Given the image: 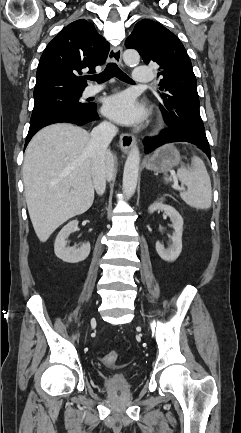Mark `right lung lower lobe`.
Wrapping results in <instances>:
<instances>
[{"instance_id":"right-lung-lower-lobe-1","label":"right lung lower lobe","mask_w":241,"mask_h":433,"mask_svg":"<svg viewBox=\"0 0 241 433\" xmlns=\"http://www.w3.org/2000/svg\"><path fill=\"white\" fill-rule=\"evenodd\" d=\"M97 119L98 115L94 103H88L86 106L80 108H64L52 111L30 122L29 132L25 141V148L34 134L45 126L61 122H68L81 126Z\"/></svg>"}]
</instances>
